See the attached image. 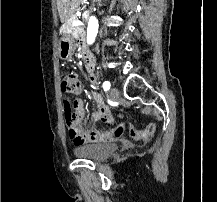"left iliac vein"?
<instances>
[{"label": "left iliac vein", "instance_id": "left-iliac-vein-1", "mask_svg": "<svg viewBox=\"0 0 217 202\" xmlns=\"http://www.w3.org/2000/svg\"><path fill=\"white\" fill-rule=\"evenodd\" d=\"M109 94H110V97L115 100L119 97V91L117 88L115 87H112L109 91Z\"/></svg>", "mask_w": 217, "mask_h": 202}]
</instances>
